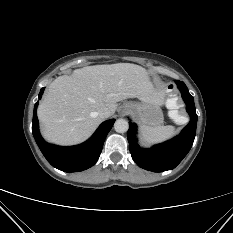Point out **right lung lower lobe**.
<instances>
[{"label":"right lung lower lobe","mask_w":233,"mask_h":233,"mask_svg":"<svg viewBox=\"0 0 233 233\" xmlns=\"http://www.w3.org/2000/svg\"><path fill=\"white\" fill-rule=\"evenodd\" d=\"M43 92L44 88L39 93V99ZM37 106L38 102L34 106L32 132L37 145L47 161L55 168L64 172L83 171L93 166L100 156L104 140L112 128L115 119L103 122L86 142L76 146L61 147L51 145L41 137L36 113Z\"/></svg>","instance_id":"1"}]
</instances>
